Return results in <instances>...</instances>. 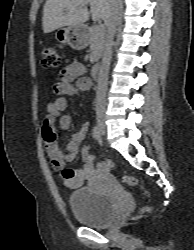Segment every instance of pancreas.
Instances as JSON below:
<instances>
[{
  "instance_id": "1",
  "label": "pancreas",
  "mask_w": 194,
  "mask_h": 250,
  "mask_svg": "<svg viewBox=\"0 0 194 250\" xmlns=\"http://www.w3.org/2000/svg\"><path fill=\"white\" fill-rule=\"evenodd\" d=\"M105 28L102 27L97 29L96 26H93L89 29L87 37L90 44V62H98L102 55L104 39H105Z\"/></svg>"
}]
</instances>
